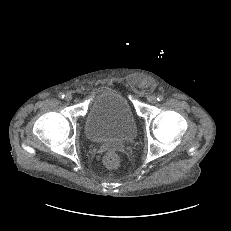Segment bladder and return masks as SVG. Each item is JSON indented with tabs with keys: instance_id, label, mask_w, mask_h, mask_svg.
<instances>
[{
	"instance_id": "31cf9c89",
	"label": "bladder",
	"mask_w": 231,
	"mask_h": 231,
	"mask_svg": "<svg viewBox=\"0 0 231 231\" xmlns=\"http://www.w3.org/2000/svg\"><path fill=\"white\" fill-rule=\"evenodd\" d=\"M84 134L92 144L124 145L138 135V125L128 99L118 91L98 93L83 123Z\"/></svg>"
}]
</instances>
